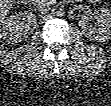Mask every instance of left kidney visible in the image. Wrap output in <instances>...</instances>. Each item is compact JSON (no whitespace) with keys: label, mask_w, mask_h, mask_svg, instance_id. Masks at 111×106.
<instances>
[{"label":"left kidney","mask_w":111,"mask_h":106,"mask_svg":"<svg viewBox=\"0 0 111 106\" xmlns=\"http://www.w3.org/2000/svg\"><path fill=\"white\" fill-rule=\"evenodd\" d=\"M96 23L90 24L86 19L79 22L84 35L90 40L105 42L111 39V11L106 8H98L94 12Z\"/></svg>","instance_id":"1"}]
</instances>
